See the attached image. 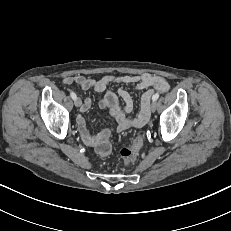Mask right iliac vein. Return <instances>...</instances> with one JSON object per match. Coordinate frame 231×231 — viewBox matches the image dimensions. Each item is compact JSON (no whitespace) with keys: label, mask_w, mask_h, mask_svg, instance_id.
Instances as JSON below:
<instances>
[{"label":"right iliac vein","mask_w":231,"mask_h":231,"mask_svg":"<svg viewBox=\"0 0 231 231\" xmlns=\"http://www.w3.org/2000/svg\"><path fill=\"white\" fill-rule=\"evenodd\" d=\"M74 104H75L76 107H80L81 104H82L81 99H80V98H76V99L74 100Z\"/></svg>","instance_id":"obj_1"}]
</instances>
